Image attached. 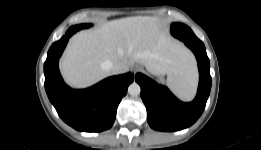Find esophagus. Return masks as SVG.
<instances>
[{"mask_svg":"<svg viewBox=\"0 0 261 150\" xmlns=\"http://www.w3.org/2000/svg\"><path fill=\"white\" fill-rule=\"evenodd\" d=\"M142 70V67L141 66H135V68H134V72L136 73V72H139V71H141Z\"/></svg>","mask_w":261,"mask_h":150,"instance_id":"34e87169","label":"esophagus"}]
</instances>
